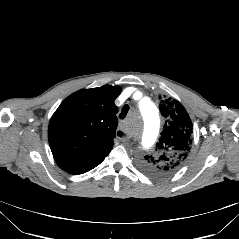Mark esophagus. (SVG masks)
Here are the masks:
<instances>
[{"mask_svg": "<svg viewBox=\"0 0 239 239\" xmlns=\"http://www.w3.org/2000/svg\"><path fill=\"white\" fill-rule=\"evenodd\" d=\"M116 136L120 141H126L128 139L126 132L122 128L116 130Z\"/></svg>", "mask_w": 239, "mask_h": 239, "instance_id": "34e87169", "label": "esophagus"}]
</instances>
